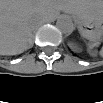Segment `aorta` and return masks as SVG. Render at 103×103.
I'll return each mask as SVG.
<instances>
[{"mask_svg":"<svg viewBox=\"0 0 103 103\" xmlns=\"http://www.w3.org/2000/svg\"><path fill=\"white\" fill-rule=\"evenodd\" d=\"M57 27L63 32L70 34L74 29V24L69 16L62 15L57 19Z\"/></svg>","mask_w":103,"mask_h":103,"instance_id":"762f6f07","label":"aorta"}]
</instances>
